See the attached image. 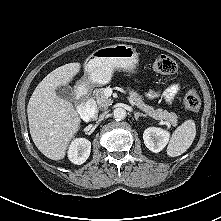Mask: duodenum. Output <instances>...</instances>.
Here are the masks:
<instances>
[{
  "mask_svg": "<svg viewBox=\"0 0 221 221\" xmlns=\"http://www.w3.org/2000/svg\"><path fill=\"white\" fill-rule=\"evenodd\" d=\"M79 112L81 117L85 120L95 117L97 115V108L94 100L85 95L84 99L81 101Z\"/></svg>",
  "mask_w": 221,
  "mask_h": 221,
  "instance_id": "410a0bca",
  "label": "duodenum"
}]
</instances>
